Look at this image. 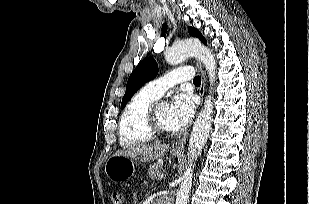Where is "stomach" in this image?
Wrapping results in <instances>:
<instances>
[{
    "mask_svg": "<svg viewBox=\"0 0 309 204\" xmlns=\"http://www.w3.org/2000/svg\"><path fill=\"white\" fill-rule=\"evenodd\" d=\"M175 157L181 154V151L171 150ZM136 167V161L128 156L112 155L105 164V173L112 181H123L130 178Z\"/></svg>",
    "mask_w": 309,
    "mask_h": 204,
    "instance_id": "0dacf381",
    "label": "stomach"
}]
</instances>
